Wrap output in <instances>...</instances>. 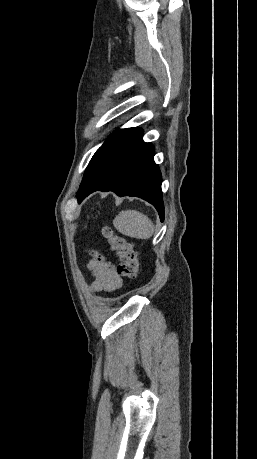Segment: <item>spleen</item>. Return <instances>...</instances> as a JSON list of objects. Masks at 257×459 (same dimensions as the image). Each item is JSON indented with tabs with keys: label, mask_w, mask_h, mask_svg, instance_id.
<instances>
[{
	"label": "spleen",
	"mask_w": 257,
	"mask_h": 459,
	"mask_svg": "<svg viewBox=\"0 0 257 459\" xmlns=\"http://www.w3.org/2000/svg\"><path fill=\"white\" fill-rule=\"evenodd\" d=\"M113 224L121 234L137 239H149L154 232L153 222L136 210L120 212L114 218Z\"/></svg>",
	"instance_id": "spleen-1"
}]
</instances>
